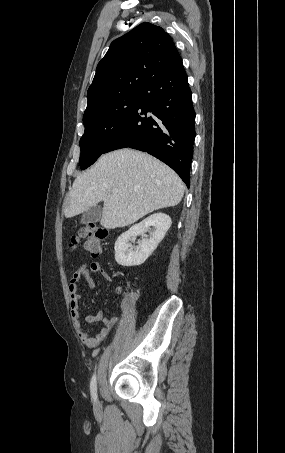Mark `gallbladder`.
<instances>
[{
    "instance_id": "bac80fb5",
    "label": "gallbladder",
    "mask_w": 285,
    "mask_h": 453,
    "mask_svg": "<svg viewBox=\"0 0 285 453\" xmlns=\"http://www.w3.org/2000/svg\"><path fill=\"white\" fill-rule=\"evenodd\" d=\"M102 214V208L99 205H94L85 211L81 217L82 224L95 223L97 222Z\"/></svg>"
}]
</instances>
